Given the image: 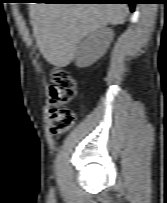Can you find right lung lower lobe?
<instances>
[{
	"mask_svg": "<svg viewBox=\"0 0 167 203\" xmlns=\"http://www.w3.org/2000/svg\"><path fill=\"white\" fill-rule=\"evenodd\" d=\"M89 2L84 3H127L130 5L131 12L135 9V4L138 3L137 0H87Z\"/></svg>",
	"mask_w": 167,
	"mask_h": 203,
	"instance_id": "1",
	"label": "right lung lower lobe"
}]
</instances>
